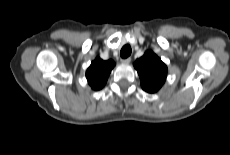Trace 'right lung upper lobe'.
Segmentation results:
<instances>
[{"mask_svg":"<svg viewBox=\"0 0 230 155\" xmlns=\"http://www.w3.org/2000/svg\"><path fill=\"white\" fill-rule=\"evenodd\" d=\"M114 66L113 60L103 61L99 57L91 63L86 71V77L93 90H100L105 85Z\"/></svg>","mask_w":230,"mask_h":155,"instance_id":"right-lung-upper-lobe-1","label":"right lung upper lobe"}]
</instances>
